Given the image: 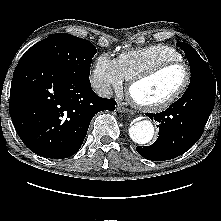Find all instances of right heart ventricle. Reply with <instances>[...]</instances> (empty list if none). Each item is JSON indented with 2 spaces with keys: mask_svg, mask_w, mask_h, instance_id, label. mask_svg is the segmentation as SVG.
<instances>
[{
  "mask_svg": "<svg viewBox=\"0 0 221 221\" xmlns=\"http://www.w3.org/2000/svg\"><path fill=\"white\" fill-rule=\"evenodd\" d=\"M168 60H182V55L169 45L153 44L122 52L117 64L124 79L130 80L150 67Z\"/></svg>",
  "mask_w": 221,
  "mask_h": 221,
  "instance_id": "1",
  "label": "right heart ventricle"
}]
</instances>
